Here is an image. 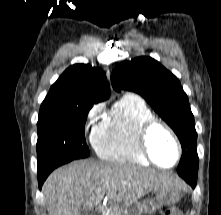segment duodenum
I'll use <instances>...</instances> for the list:
<instances>
[{
	"label": "duodenum",
	"mask_w": 221,
	"mask_h": 215,
	"mask_svg": "<svg viewBox=\"0 0 221 215\" xmlns=\"http://www.w3.org/2000/svg\"><path fill=\"white\" fill-rule=\"evenodd\" d=\"M105 207L104 206H99L95 212L94 215H102L103 211H104Z\"/></svg>",
	"instance_id": "410a0bca"
}]
</instances>
